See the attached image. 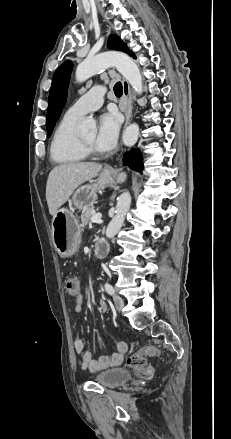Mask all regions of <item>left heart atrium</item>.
I'll list each match as a JSON object with an SVG mask.
<instances>
[{"mask_svg":"<svg viewBox=\"0 0 231 439\" xmlns=\"http://www.w3.org/2000/svg\"><path fill=\"white\" fill-rule=\"evenodd\" d=\"M120 128V121L115 113H104L98 121L95 146L99 151L106 152L114 148Z\"/></svg>","mask_w":231,"mask_h":439,"instance_id":"39dd6f15","label":"left heart atrium"}]
</instances>
